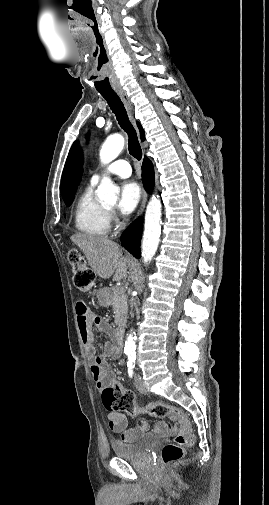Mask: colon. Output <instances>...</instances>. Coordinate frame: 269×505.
<instances>
[{"instance_id": "colon-1", "label": "colon", "mask_w": 269, "mask_h": 505, "mask_svg": "<svg viewBox=\"0 0 269 505\" xmlns=\"http://www.w3.org/2000/svg\"><path fill=\"white\" fill-rule=\"evenodd\" d=\"M68 258L73 270L75 287L82 292L91 291L95 282L94 272L87 267L83 257L77 251L71 250ZM102 402L107 410L124 411L130 415L145 413L160 418L170 416L176 421L179 424L178 433L175 435L173 442L165 445L161 452L164 464H172L182 459L185 454V448L193 442V436L190 433V423L183 412L165 404L139 407L135 403L134 394L123 390L116 381L103 389Z\"/></svg>"}]
</instances>
